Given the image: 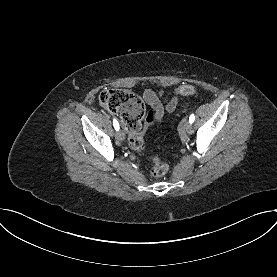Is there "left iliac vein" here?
<instances>
[{"instance_id":"left-iliac-vein-1","label":"left iliac vein","mask_w":277,"mask_h":277,"mask_svg":"<svg viewBox=\"0 0 277 277\" xmlns=\"http://www.w3.org/2000/svg\"><path fill=\"white\" fill-rule=\"evenodd\" d=\"M181 127L184 131L189 133L192 130V123H190V121L185 119V120H183Z\"/></svg>"}]
</instances>
